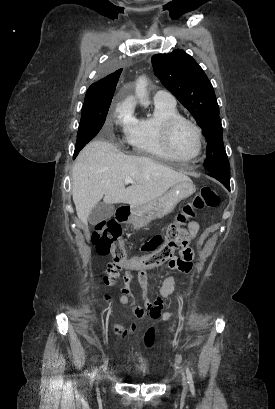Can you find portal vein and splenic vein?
I'll return each mask as SVG.
<instances>
[{"label": "portal vein and splenic vein", "instance_id": "1", "mask_svg": "<svg viewBox=\"0 0 275 409\" xmlns=\"http://www.w3.org/2000/svg\"><path fill=\"white\" fill-rule=\"evenodd\" d=\"M124 182L125 184H129V182H133V184H135L132 176H127V178H124Z\"/></svg>", "mask_w": 275, "mask_h": 409}]
</instances>
